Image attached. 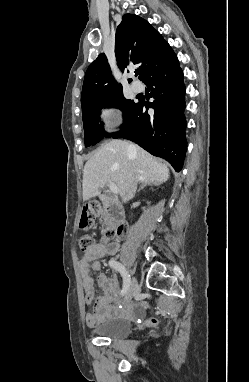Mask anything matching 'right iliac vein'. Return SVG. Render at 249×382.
<instances>
[{
  "label": "right iliac vein",
  "mask_w": 249,
  "mask_h": 382,
  "mask_svg": "<svg viewBox=\"0 0 249 382\" xmlns=\"http://www.w3.org/2000/svg\"><path fill=\"white\" fill-rule=\"evenodd\" d=\"M138 292V283L135 278L131 280L128 293L126 295V300H130Z\"/></svg>",
  "instance_id": "1"
}]
</instances>
